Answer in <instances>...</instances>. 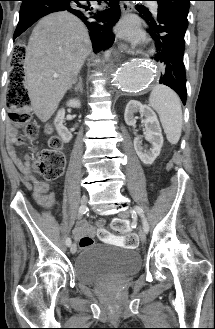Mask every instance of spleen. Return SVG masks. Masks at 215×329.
<instances>
[{
  "mask_svg": "<svg viewBox=\"0 0 215 329\" xmlns=\"http://www.w3.org/2000/svg\"><path fill=\"white\" fill-rule=\"evenodd\" d=\"M149 105L158 113L167 140L173 145L177 144L183 125L178 95L165 85H156L150 93Z\"/></svg>",
  "mask_w": 215,
  "mask_h": 329,
  "instance_id": "obj_1",
  "label": "spleen"
}]
</instances>
